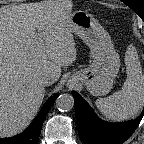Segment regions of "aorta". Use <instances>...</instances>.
I'll list each match as a JSON object with an SVG mask.
<instances>
[{
    "label": "aorta",
    "instance_id": "1",
    "mask_svg": "<svg viewBox=\"0 0 144 144\" xmlns=\"http://www.w3.org/2000/svg\"><path fill=\"white\" fill-rule=\"evenodd\" d=\"M74 106V99L70 94H61L56 99V107L61 112H68Z\"/></svg>",
    "mask_w": 144,
    "mask_h": 144
}]
</instances>
